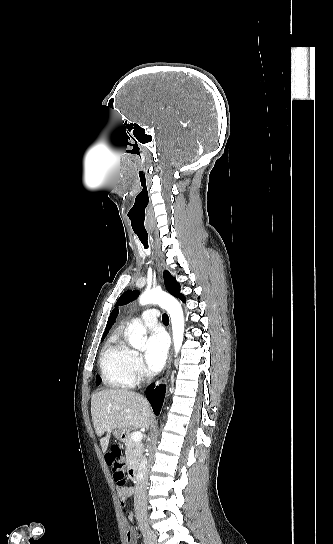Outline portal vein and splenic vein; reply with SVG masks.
Segmentation results:
<instances>
[{"label":"portal vein and splenic vein","instance_id":"portal-vein-and-splenic-vein-1","mask_svg":"<svg viewBox=\"0 0 333 544\" xmlns=\"http://www.w3.org/2000/svg\"><path fill=\"white\" fill-rule=\"evenodd\" d=\"M131 438L133 441L139 442L143 438V434L141 431H135L132 433Z\"/></svg>","mask_w":333,"mask_h":544}]
</instances>
